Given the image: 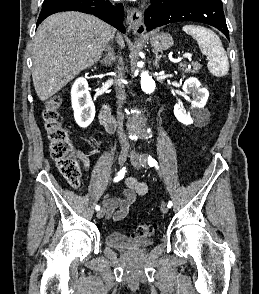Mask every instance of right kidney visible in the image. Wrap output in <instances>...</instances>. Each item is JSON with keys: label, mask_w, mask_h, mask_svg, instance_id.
Returning <instances> with one entry per match:
<instances>
[{"label": "right kidney", "mask_w": 259, "mask_h": 294, "mask_svg": "<svg viewBox=\"0 0 259 294\" xmlns=\"http://www.w3.org/2000/svg\"><path fill=\"white\" fill-rule=\"evenodd\" d=\"M71 100L76 123L82 128L88 127L95 117V106L85 78L80 77L74 82Z\"/></svg>", "instance_id": "right-kidney-1"}]
</instances>
